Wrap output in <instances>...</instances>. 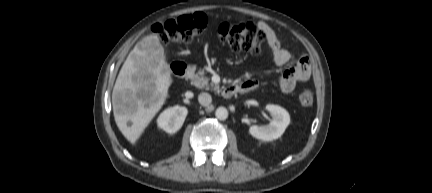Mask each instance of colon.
<instances>
[{"mask_svg":"<svg viewBox=\"0 0 432 193\" xmlns=\"http://www.w3.org/2000/svg\"><path fill=\"white\" fill-rule=\"evenodd\" d=\"M207 18L203 13H193L170 18L156 23L152 29L166 43H189L204 32ZM219 40L233 52L258 54L266 39L265 34L252 23H222L218 27ZM302 106L310 107L314 96L310 89H304L299 95Z\"/></svg>","mask_w":432,"mask_h":193,"instance_id":"colon-1","label":"colon"}]
</instances>
